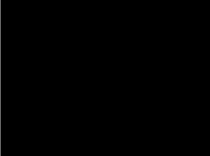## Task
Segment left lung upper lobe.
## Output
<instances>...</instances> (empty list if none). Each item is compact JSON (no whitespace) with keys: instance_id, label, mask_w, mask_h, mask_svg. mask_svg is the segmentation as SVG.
<instances>
[{"instance_id":"5c2ea615","label":"left lung upper lobe","mask_w":210,"mask_h":156,"mask_svg":"<svg viewBox=\"0 0 210 156\" xmlns=\"http://www.w3.org/2000/svg\"><path fill=\"white\" fill-rule=\"evenodd\" d=\"M171 125L172 118L166 111L156 115L146 129V139L150 143L157 142L171 128Z\"/></svg>"}]
</instances>
